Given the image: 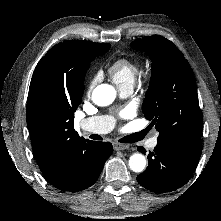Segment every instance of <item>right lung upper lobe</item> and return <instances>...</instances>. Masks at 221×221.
<instances>
[{"mask_svg": "<svg viewBox=\"0 0 221 221\" xmlns=\"http://www.w3.org/2000/svg\"><path fill=\"white\" fill-rule=\"evenodd\" d=\"M93 44L82 40L58 43L40 60L31 79L27 126L36 161L52 185L67 180L75 152L91 142L74 130L73 113L84 92V70L78 57Z\"/></svg>", "mask_w": 221, "mask_h": 221, "instance_id": "cb5924a9", "label": "right lung upper lobe"}]
</instances>
